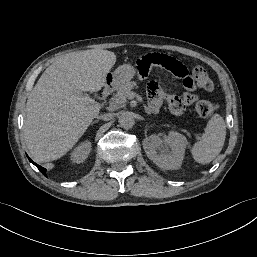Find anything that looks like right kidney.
Returning <instances> with one entry per match:
<instances>
[{"label": "right kidney", "mask_w": 257, "mask_h": 257, "mask_svg": "<svg viewBox=\"0 0 257 257\" xmlns=\"http://www.w3.org/2000/svg\"><path fill=\"white\" fill-rule=\"evenodd\" d=\"M91 143L89 141L82 142L78 147H76L70 154V159L74 163H82L84 162L90 151H91Z\"/></svg>", "instance_id": "right-kidney-1"}]
</instances>
